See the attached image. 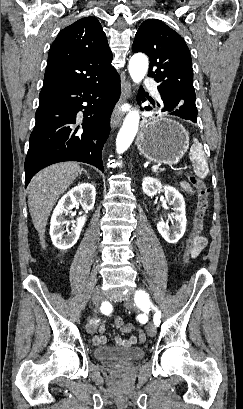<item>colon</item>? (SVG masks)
I'll return each instance as SVG.
<instances>
[{
    "mask_svg": "<svg viewBox=\"0 0 243 409\" xmlns=\"http://www.w3.org/2000/svg\"><path fill=\"white\" fill-rule=\"evenodd\" d=\"M189 181L191 184L196 188L197 191V208L193 220V227L192 231L189 235V238L186 242L185 253H184V261L188 262L192 258L193 250L198 242L199 237L201 236L200 233L204 226L205 215L208 208V200H209V189L208 187L196 176L190 175L188 176ZM115 325L119 327L124 332H131L134 330V326L130 323H126L122 318L117 317L115 319ZM139 339L141 342L146 340L145 333L140 331L139 332Z\"/></svg>",
    "mask_w": 243,
    "mask_h": 409,
    "instance_id": "obj_1",
    "label": "colon"
}]
</instances>
